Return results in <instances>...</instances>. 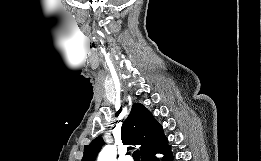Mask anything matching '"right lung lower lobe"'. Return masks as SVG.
Listing matches in <instances>:
<instances>
[{"instance_id":"right-lung-lower-lobe-1","label":"right lung lower lobe","mask_w":261,"mask_h":161,"mask_svg":"<svg viewBox=\"0 0 261 161\" xmlns=\"http://www.w3.org/2000/svg\"><path fill=\"white\" fill-rule=\"evenodd\" d=\"M156 153H163L165 155V157L163 158L165 161H172L170 145H167V142L153 152L145 155L143 158H141V161H159L155 157Z\"/></svg>"}]
</instances>
